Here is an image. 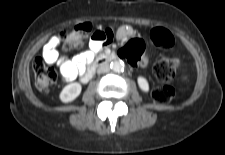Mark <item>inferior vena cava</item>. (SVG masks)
<instances>
[{
  "mask_svg": "<svg viewBox=\"0 0 225 155\" xmlns=\"http://www.w3.org/2000/svg\"><path fill=\"white\" fill-rule=\"evenodd\" d=\"M109 70H110L109 65L106 63H103L98 67L97 73L102 74V73L108 72Z\"/></svg>",
  "mask_w": 225,
  "mask_h": 155,
  "instance_id": "inferior-vena-cava-1",
  "label": "inferior vena cava"
}]
</instances>
